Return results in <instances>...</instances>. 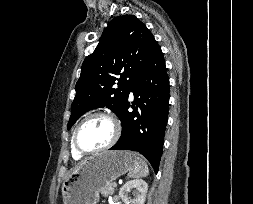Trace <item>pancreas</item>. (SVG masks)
Wrapping results in <instances>:
<instances>
[{"label":"pancreas","instance_id":"pancreas-1","mask_svg":"<svg viewBox=\"0 0 253 204\" xmlns=\"http://www.w3.org/2000/svg\"><path fill=\"white\" fill-rule=\"evenodd\" d=\"M100 193L107 197L108 195H112L114 193V187L112 184H107L101 191Z\"/></svg>","mask_w":253,"mask_h":204}]
</instances>
